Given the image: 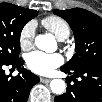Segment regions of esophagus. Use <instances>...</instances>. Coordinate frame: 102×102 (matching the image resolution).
<instances>
[{
  "label": "esophagus",
  "instance_id": "34e87169",
  "mask_svg": "<svg viewBox=\"0 0 102 102\" xmlns=\"http://www.w3.org/2000/svg\"><path fill=\"white\" fill-rule=\"evenodd\" d=\"M40 81H41L42 83H49V82L51 81V79H50V78L41 77V78H40Z\"/></svg>",
  "mask_w": 102,
  "mask_h": 102
}]
</instances>
